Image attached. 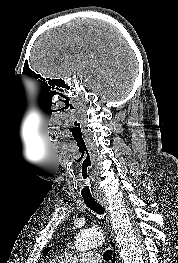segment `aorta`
I'll list each match as a JSON object with an SVG mask.
<instances>
[{
    "label": "aorta",
    "mask_w": 178,
    "mask_h": 263,
    "mask_svg": "<svg viewBox=\"0 0 178 263\" xmlns=\"http://www.w3.org/2000/svg\"><path fill=\"white\" fill-rule=\"evenodd\" d=\"M104 242V237L102 233L93 230H82L76 237L75 248L79 252L87 251L97 245H100ZM71 263H76L72 261Z\"/></svg>",
    "instance_id": "obj_1"
}]
</instances>
